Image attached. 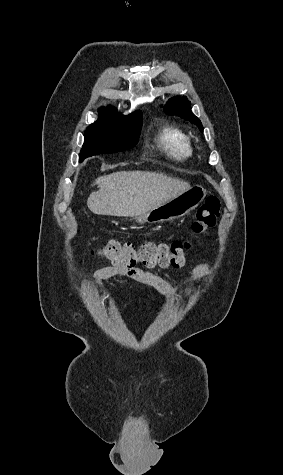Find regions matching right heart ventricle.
<instances>
[{
	"label": "right heart ventricle",
	"mask_w": 283,
	"mask_h": 475,
	"mask_svg": "<svg viewBox=\"0 0 283 475\" xmlns=\"http://www.w3.org/2000/svg\"><path fill=\"white\" fill-rule=\"evenodd\" d=\"M156 142L172 157L179 160L189 159L195 154V146L190 135L175 124H163L158 130Z\"/></svg>",
	"instance_id": "obj_1"
}]
</instances>
